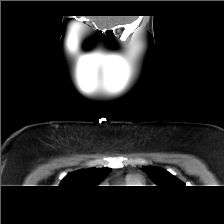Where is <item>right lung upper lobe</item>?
<instances>
[{"mask_svg":"<svg viewBox=\"0 0 224 224\" xmlns=\"http://www.w3.org/2000/svg\"><path fill=\"white\" fill-rule=\"evenodd\" d=\"M110 172V168L77 170L69 173L61 185L72 189L96 187Z\"/></svg>","mask_w":224,"mask_h":224,"instance_id":"obj_1","label":"right lung upper lobe"}]
</instances>
